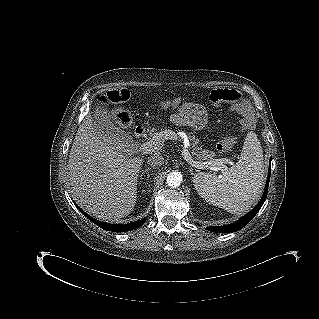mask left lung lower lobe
<instances>
[{"mask_svg": "<svg viewBox=\"0 0 319 319\" xmlns=\"http://www.w3.org/2000/svg\"><path fill=\"white\" fill-rule=\"evenodd\" d=\"M270 172H271V164H270L269 171H268V177H267V181H266V185H265L264 194H263L260 202L258 203V205L253 210H251L248 214H246L245 216L240 218L235 223H232L230 225H225V226H210V227H207L206 229H208L209 231H212V232H217V233H231V232H235V231L240 230L246 224H248L251 221V219L258 213V211L262 207L263 203L265 202V199L267 197L268 186H269Z\"/></svg>", "mask_w": 319, "mask_h": 319, "instance_id": "left-lung-lower-lobe-1", "label": "left lung lower lobe"}]
</instances>
